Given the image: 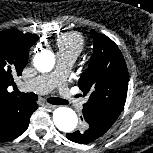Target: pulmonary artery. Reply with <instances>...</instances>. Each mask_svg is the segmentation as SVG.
Masks as SVG:
<instances>
[{
    "mask_svg": "<svg viewBox=\"0 0 153 153\" xmlns=\"http://www.w3.org/2000/svg\"><path fill=\"white\" fill-rule=\"evenodd\" d=\"M74 61L75 57L58 53L56 69L50 74L39 75L33 80L25 83L23 89L37 93H47L58 87L62 99L67 100L68 103L82 104V102H76V99L65 85V79Z\"/></svg>",
    "mask_w": 153,
    "mask_h": 153,
    "instance_id": "obj_1",
    "label": "pulmonary artery"
}]
</instances>
